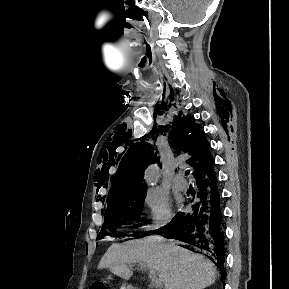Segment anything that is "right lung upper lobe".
Returning a JSON list of instances; mask_svg holds the SVG:
<instances>
[{"label":"right lung upper lobe","mask_w":289,"mask_h":289,"mask_svg":"<svg viewBox=\"0 0 289 289\" xmlns=\"http://www.w3.org/2000/svg\"><path fill=\"white\" fill-rule=\"evenodd\" d=\"M173 127V147L178 153L186 152L191 155L187 162L194 168V178L197 180L212 171L213 160L209 144L201 132V126L194 122L193 117L183 116L180 113ZM154 160L158 162L149 144L144 142L133 144L120 162L107 204L111 205L136 194L146 193L142 176L145 168Z\"/></svg>","instance_id":"right-lung-upper-lobe-1"}]
</instances>
